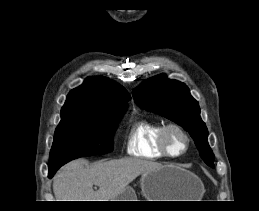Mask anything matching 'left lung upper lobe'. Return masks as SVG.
<instances>
[{
  "instance_id": "5c2ea615",
  "label": "left lung upper lobe",
  "mask_w": 259,
  "mask_h": 211,
  "mask_svg": "<svg viewBox=\"0 0 259 211\" xmlns=\"http://www.w3.org/2000/svg\"><path fill=\"white\" fill-rule=\"evenodd\" d=\"M133 97L141 108L158 113L188 131L203 161L214 167L215 156L208 145V130L200 117V107L184 83L161 74L142 83L133 91Z\"/></svg>"
}]
</instances>
